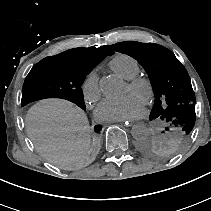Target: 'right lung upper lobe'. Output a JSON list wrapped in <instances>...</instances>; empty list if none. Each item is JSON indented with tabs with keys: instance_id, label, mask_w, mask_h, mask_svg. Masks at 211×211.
I'll list each match as a JSON object with an SVG mask.
<instances>
[{
	"instance_id": "1",
	"label": "right lung upper lobe",
	"mask_w": 211,
	"mask_h": 211,
	"mask_svg": "<svg viewBox=\"0 0 211 211\" xmlns=\"http://www.w3.org/2000/svg\"><path fill=\"white\" fill-rule=\"evenodd\" d=\"M112 54H114V52L107 46H100V47L70 49L58 55L70 56L88 60H103L106 56Z\"/></svg>"
}]
</instances>
